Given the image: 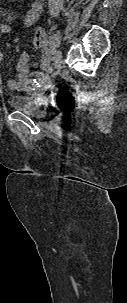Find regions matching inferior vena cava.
Returning <instances> with one entry per match:
<instances>
[{
	"instance_id": "1",
	"label": "inferior vena cava",
	"mask_w": 127,
	"mask_h": 303,
	"mask_svg": "<svg viewBox=\"0 0 127 303\" xmlns=\"http://www.w3.org/2000/svg\"><path fill=\"white\" fill-rule=\"evenodd\" d=\"M64 0H48L49 13L52 17L58 16L62 9Z\"/></svg>"
}]
</instances>
